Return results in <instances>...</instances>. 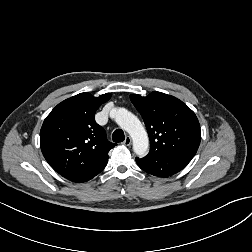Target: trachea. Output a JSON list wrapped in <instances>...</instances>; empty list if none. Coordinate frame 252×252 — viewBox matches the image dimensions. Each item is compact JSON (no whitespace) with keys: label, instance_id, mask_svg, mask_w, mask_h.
<instances>
[{"label":"trachea","instance_id":"obj_1","mask_svg":"<svg viewBox=\"0 0 252 252\" xmlns=\"http://www.w3.org/2000/svg\"><path fill=\"white\" fill-rule=\"evenodd\" d=\"M112 139L116 143L124 141V132L121 129H116L112 134Z\"/></svg>","mask_w":252,"mask_h":252}]
</instances>
